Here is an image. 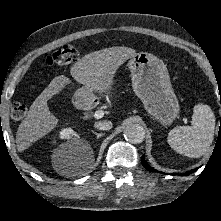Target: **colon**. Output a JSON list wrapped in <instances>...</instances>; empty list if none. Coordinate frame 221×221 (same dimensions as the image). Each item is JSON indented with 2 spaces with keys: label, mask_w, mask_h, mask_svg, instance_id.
<instances>
[{
  "label": "colon",
  "mask_w": 221,
  "mask_h": 221,
  "mask_svg": "<svg viewBox=\"0 0 221 221\" xmlns=\"http://www.w3.org/2000/svg\"><path fill=\"white\" fill-rule=\"evenodd\" d=\"M80 57L79 50L70 44H65L55 50L52 54L48 55L43 61L46 68L55 66H67L78 61ZM26 114V106L20 102L13 103L11 107V117L15 121L24 118Z\"/></svg>",
  "instance_id": "obj_1"
}]
</instances>
